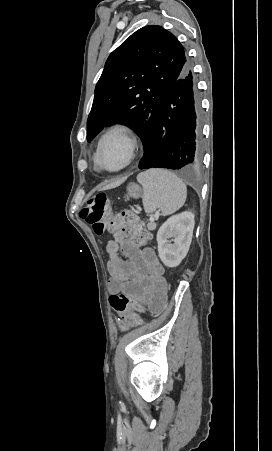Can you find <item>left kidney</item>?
Segmentation results:
<instances>
[{
    "instance_id": "5707ae66",
    "label": "left kidney",
    "mask_w": 272,
    "mask_h": 451,
    "mask_svg": "<svg viewBox=\"0 0 272 451\" xmlns=\"http://www.w3.org/2000/svg\"><path fill=\"white\" fill-rule=\"evenodd\" d=\"M195 216L192 212H182L168 218L157 231L159 257L164 265L176 267L188 253L192 241ZM170 237H174L171 243Z\"/></svg>"
}]
</instances>
